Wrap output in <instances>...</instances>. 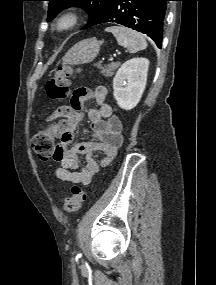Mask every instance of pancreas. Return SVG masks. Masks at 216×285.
Instances as JSON below:
<instances>
[{"instance_id": "cf45deb5", "label": "pancreas", "mask_w": 216, "mask_h": 285, "mask_svg": "<svg viewBox=\"0 0 216 285\" xmlns=\"http://www.w3.org/2000/svg\"><path fill=\"white\" fill-rule=\"evenodd\" d=\"M120 66V62H112L110 65L101 67V74L105 77L114 75V71Z\"/></svg>"}]
</instances>
